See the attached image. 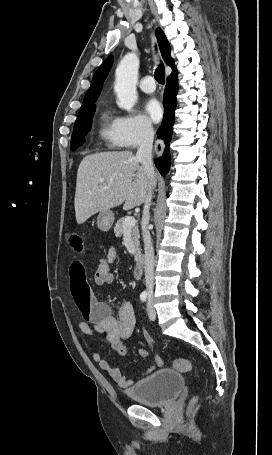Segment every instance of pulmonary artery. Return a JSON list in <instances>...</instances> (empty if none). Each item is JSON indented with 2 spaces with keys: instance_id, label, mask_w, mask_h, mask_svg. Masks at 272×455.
I'll list each match as a JSON object with an SVG mask.
<instances>
[{
  "instance_id": "pulmonary-artery-1",
  "label": "pulmonary artery",
  "mask_w": 272,
  "mask_h": 455,
  "mask_svg": "<svg viewBox=\"0 0 272 455\" xmlns=\"http://www.w3.org/2000/svg\"><path fill=\"white\" fill-rule=\"evenodd\" d=\"M140 89L145 93H152L156 89L155 81L152 76L144 77L139 85Z\"/></svg>"
}]
</instances>
